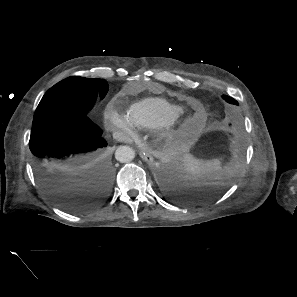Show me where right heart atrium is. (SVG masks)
<instances>
[{"instance_id": "1", "label": "right heart atrium", "mask_w": 297, "mask_h": 297, "mask_svg": "<svg viewBox=\"0 0 297 297\" xmlns=\"http://www.w3.org/2000/svg\"><path fill=\"white\" fill-rule=\"evenodd\" d=\"M106 120L110 128L120 133L121 138H136L138 133L129 117L112 106L106 110Z\"/></svg>"}]
</instances>
